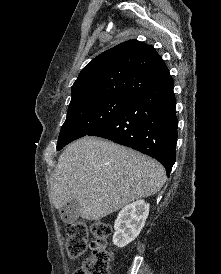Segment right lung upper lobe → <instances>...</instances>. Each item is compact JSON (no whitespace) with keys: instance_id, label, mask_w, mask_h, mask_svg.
Instances as JSON below:
<instances>
[{"instance_id":"obj_1","label":"right lung upper lobe","mask_w":221,"mask_h":274,"mask_svg":"<svg viewBox=\"0 0 221 274\" xmlns=\"http://www.w3.org/2000/svg\"><path fill=\"white\" fill-rule=\"evenodd\" d=\"M168 75L153 47L126 41L101 53L81 71L72 86L71 101L96 96L133 99Z\"/></svg>"}]
</instances>
